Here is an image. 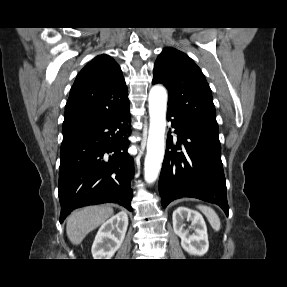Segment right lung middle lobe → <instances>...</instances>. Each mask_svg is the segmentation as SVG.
I'll use <instances>...</instances> for the list:
<instances>
[{
    "label": "right lung middle lobe",
    "mask_w": 287,
    "mask_h": 287,
    "mask_svg": "<svg viewBox=\"0 0 287 287\" xmlns=\"http://www.w3.org/2000/svg\"><path fill=\"white\" fill-rule=\"evenodd\" d=\"M74 127H78V126H72V127H63V131L74 128Z\"/></svg>",
    "instance_id": "obj_1"
}]
</instances>
